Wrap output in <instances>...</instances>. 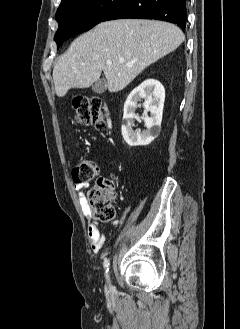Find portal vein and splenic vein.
<instances>
[{
    "label": "portal vein and splenic vein",
    "mask_w": 240,
    "mask_h": 329,
    "mask_svg": "<svg viewBox=\"0 0 240 329\" xmlns=\"http://www.w3.org/2000/svg\"><path fill=\"white\" fill-rule=\"evenodd\" d=\"M106 63H107V65H111V64H112V61H111V60H107V62H106ZM127 66H128V67H131V65H130V64H127Z\"/></svg>",
    "instance_id": "18ae733b"
}]
</instances>
